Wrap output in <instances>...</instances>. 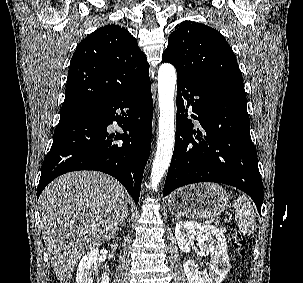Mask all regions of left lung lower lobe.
Returning a JSON list of instances; mask_svg holds the SVG:
<instances>
[{
    "mask_svg": "<svg viewBox=\"0 0 303 283\" xmlns=\"http://www.w3.org/2000/svg\"><path fill=\"white\" fill-rule=\"evenodd\" d=\"M177 78L175 148L163 196L191 183H224L247 193L261 214L263 183L244 90L225 82ZM188 107L200 129L187 119Z\"/></svg>",
    "mask_w": 303,
    "mask_h": 283,
    "instance_id": "left-lung-lower-lobe-1",
    "label": "left lung lower lobe"
}]
</instances>
